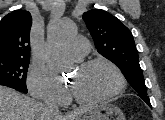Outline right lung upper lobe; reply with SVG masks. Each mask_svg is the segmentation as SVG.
<instances>
[{"instance_id": "obj_1", "label": "right lung upper lobe", "mask_w": 165, "mask_h": 120, "mask_svg": "<svg viewBox=\"0 0 165 120\" xmlns=\"http://www.w3.org/2000/svg\"><path fill=\"white\" fill-rule=\"evenodd\" d=\"M31 24V14L25 10L13 11L0 21V58L30 59Z\"/></svg>"}]
</instances>
